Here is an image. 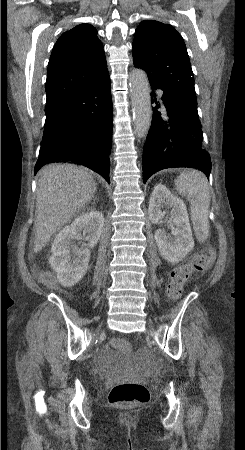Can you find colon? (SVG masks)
Returning <instances> with one entry per match:
<instances>
[{
  "instance_id": "1",
  "label": "colon",
  "mask_w": 245,
  "mask_h": 450,
  "mask_svg": "<svg viewBox=\"0 0 245 450\" xmlns=\"http://www.w3.org/2000/svg\"><path fill=\"white\" fill-rule=\"evenodd\" d=\"M215 252L210 247H205L196 253L190 262L175 267L170 273L167 286L168 296L172 300H178L183 294V285L192 275L208 269L214 260ZM114 346L123 353H130L131 343L125 339H116ZM109 402L112 404L140 405L150 399V393L146 386L137 383H122L114 386L109 394Z\"/></svg>"
}]
</instances>
